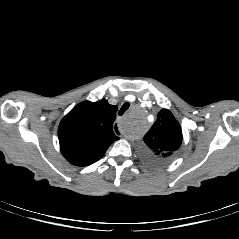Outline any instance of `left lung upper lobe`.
I'll return each instance as SVG.
<instances>
[{"label": "left lung upper lobe", "mask_w": 239, "mask_h": 239, "mask_svg": "<svg viewBox=\"0 0 239 239\" xmlns=\"http://www.w3.org/2000/svg\"><path fill=\"white\" fill-rule=\"evenodd\" d=\"M143 141V155L148 161L168 162L177 154L182 143L180 124L169 110L162 109Z\"/></svg>", "instance_id": "1"}]
</instances>
